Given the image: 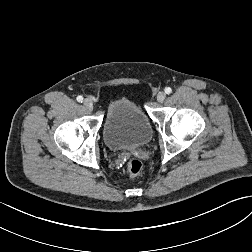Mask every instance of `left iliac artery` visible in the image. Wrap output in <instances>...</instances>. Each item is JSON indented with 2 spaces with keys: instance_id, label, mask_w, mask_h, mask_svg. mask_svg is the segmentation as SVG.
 <instances>
[{
  "instance_id": "1",
  "label": "left iliac artery",
  "mask_w": 252,
  "mask_h": 252,
  "mask_svg": "<svg viewBox=\"0 0 252 252\" xmlns=\"http://www.w3.org/2000/svg\"><path fill=\"white\" fill-rule=\"evenodd\" d=\"M172 92V89L170 87L165 88V93L170 94Z\"/></svg>"
}]
</instances>
